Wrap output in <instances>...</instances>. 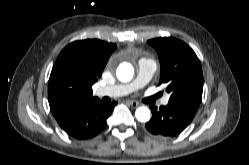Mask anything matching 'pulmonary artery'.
Here are the masks:
<instances>
[{"mask_svg":"<svg viewBox=\"0 0 249 165\" xmlns=\"http://www.w3.org/2000/svg\"><path fill=\"white\" fill-rule=\"evenodd\" d=\"M156 71L155 63L146 58H142L138 64V73L136 77L127 83L115 84L110 86L100 87L97 90V94L109 95V96H125L129 95L137 90L142 89L152 78ZM169 101L168 96H165L161 103L162 105H167Z\"/></svg>","mask_w":249,"mask_h":165,"instance_id":"pulmonary-artery-1","label":"pulmonary artery"}]
</instances>
